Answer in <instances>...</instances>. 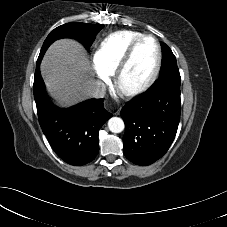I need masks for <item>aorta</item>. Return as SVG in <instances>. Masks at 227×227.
I'll list each match as a JSON object with an SVG mask.
<instances>
[{
    "mask_svg": "<svg viewBox=\"0 0 227 227\" xmlns=\"http://www.w3.org/2000/svg\"><path fill=\"white\" fill-rule=\"evenodd\" d=\"M108 128L113 133H120L124 130V122L119 117H112L108 121Z\"/></svg>",
    "mask_w": 227,
    "mask_h": 227,
    "instance_id": "obj_1",
    "label": "aorta"
}]
</instances>
